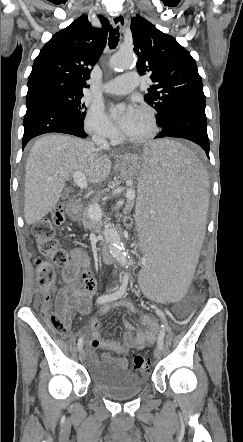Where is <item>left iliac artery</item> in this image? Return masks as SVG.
I'll list each match as a JSON object with an SVG mask.
<instances>
[{"label": "left iliac artery", "mask_w": 243, "mask_h": 442, "mask_svg": "<svg viewBox=\"0 0 243 442\" xmlns=\"http://www.w3.org/2000/svg\"><path fill=\"white\" fill-rule=\"evenodd\" d=\"M155 312L161 319V329L159 331L158 338H157V347L160 350H162L163 343H164L165 329H166V319H165L164 313L160 309H156Z\"/></svg>", "instance_id": "left-iliac-artery-1"}]
</instances>
